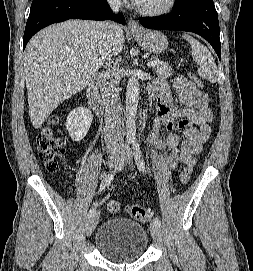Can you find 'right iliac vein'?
<instances>
[{
  "instance_id": "1",
  "label": "right iliac vein",
  "mask_w": 253,
  "mask_h": 271,
  "mask_svg": "<svg viewBox=\"0 0 253 271\" xmlns=\"http://www.w3.org/2000/svg\"><path fill=\"white\" fill-rule=\"evenodd\" d=\"M120 159V152L119 151H110L108 154V162H109V167L113 168L118 160ZM99 220V214L98 212H95L88 220L87 225H86V232L87 235L90 236L94 229L96 228Z\"/></svg>"
}]
</instances>
